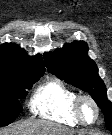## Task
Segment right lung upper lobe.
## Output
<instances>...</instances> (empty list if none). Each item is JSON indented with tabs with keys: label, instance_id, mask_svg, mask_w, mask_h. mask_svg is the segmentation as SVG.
<instances>
[{
	"label": "right lung upper lobe",
	"instance_id": "1",
	"mask_svg": "<svg viewBox=\"0 0 112 135\" xmlns=\"http://www.w3.org/2000/svg\"><path fill=\"white\" fill-rule=\"evenodd\" d=\"M44 64L41 56H28L24 49L13 43L0 46V78L21 75L29 79L41 77Z\"/></svg>",
	"mask_w": 112,
	"mask_h": 135
}]
</instances>
